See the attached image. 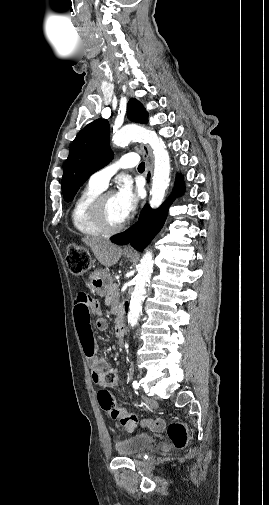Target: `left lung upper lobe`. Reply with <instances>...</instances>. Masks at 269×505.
I'll list each match as a JSON object with an SVG mask.
<instances>
[{"instance_id": "left-lung-upper-lobe-1", "label": "left lung upper lobe", "mask_w": 269, "mask_h": 505, "mask_svg": "<svg viewBox=\"0 0 269 505\" xmlns=\"http://www.w3.org/2000/svg\"><path fill=\"white\" fill-rule=\"evenodd\" d=\"M127 116L129 120L137 123L148 121V113L136 99L129 101ZM109 134L108 121L97 119L85 126L72 142L62 177L65 201L71 202L80 186L113 158L109 147Z\"/></svg>"}]
</instances>
